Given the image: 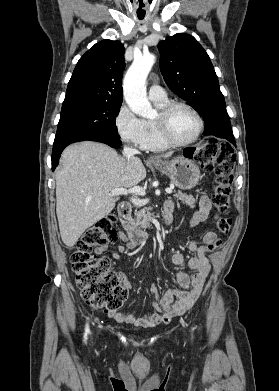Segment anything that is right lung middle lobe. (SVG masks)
<instances>
[{
	"label": "right lung middle lobe",
	"mask_w": 279,
	"mask_h": 391,
	"mask_svg": "<svg viewBox=\"0 0 279 391\" xmlns=\"http://www.w3.org/2000/svg\"><path fill=\"white\" fill-rule=\"evenodd\" d=\"M121 104L92 103L61 110L54 144L110 130L118 133L116 117Z\"/></svg>",
	"instance_id": "right-lung-middle-lobe-1"
}]
</instances>
